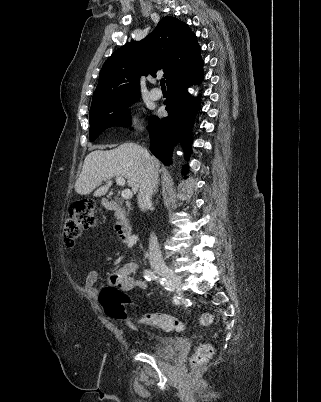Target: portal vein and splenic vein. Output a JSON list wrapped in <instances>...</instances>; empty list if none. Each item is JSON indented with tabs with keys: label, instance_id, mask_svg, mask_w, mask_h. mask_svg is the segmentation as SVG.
I'll return each mask as SVG.
<instances>
[{
	"label": "portal vein and splenic vein",
	"instance_id": "1",
	"mask_svg": "<svg viewBox=\"0 0 321 402\" xmlns=\"http://www.w3.org/2000/svg\"><path fill=\"white\" fill-rule=\"evenodd\" d=\"M125 182H126L125 179L123 177H121V176L116 178V183L119 186L125 185ZM121 196L124 199H130V198H132L133 194H132V191L130 189H124L122 191V193H121Z\"/></svg>",
	"mask_w": 321,
	"mask_h": 402
}]
</instances>
